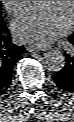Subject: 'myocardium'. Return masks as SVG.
I'll return each mask as SVG.
<instances>
[{
	"label": "myocardium",
	"instance_id": "myocardium-1",
	"mask_svg": "<svg viewBox=\"0 0 74 122\" xmlns=\"http://www.w3.org/2000/svg\"><path fill=\"white\" fill-rule=\"evenodd\" d=\"M71 21L74 22V1H71Z\"/></svg>",
	"mask_w": 74,
	"mask_h": 122
}]
</instances>
